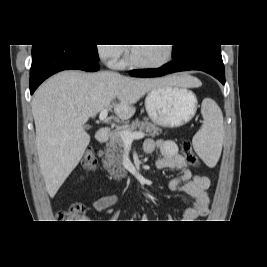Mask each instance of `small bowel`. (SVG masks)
<instances>
[{
    "label": "small bowel",
    "instance_id": "obj_1",
    "mask_svg": "<svg viewBox=\"0 0 267 267\" xmlns=\"http://www.w3.org/2000/svg\"><path fill=\"white\" fill-rule=\"evenodd\" d=\"M156 149L160 150L161 157L156 161L158 169H176L180 175L169 183V189L173 192H184L193 199V206L188 208L181 222H192L196 218L205 215L208 212L209 198L207 190L210 186V180L203 175H193L187 166L186 160L178 152L177 144L171 140L148 139L144 143V151L147 154L153 153ZM118 203V196L106 195L98 198L93 203V208L97 212L104 211L115 206ZM118 213L113 215L117 220ZM141 222H149L147 215L141 217Z\"/></svg>",
    "mask_w": 267,
    "mask_h": 267
}]
</instances>
